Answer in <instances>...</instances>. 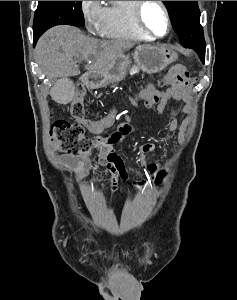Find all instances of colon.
<instances>
[{
    "label": "colon",
    "instance_id": "5ec220e1",
    "mask_svg": "<svg viewBox=\"0 0 237 300\" xmlns=\"http://www.w3.org/2000/svg\"><path fill=\"white\" fill-rule=\"evenodd\" d=\"M175 74L174 86H189L193 83L188 70L183 65H177L172 69ZM164 90H158L143 99L146 107L158 104ZM85 88L78 85L76 94L71 102L70 111L74 118H84ZM133 131V125L128 122L120 123L111 133L97 138H89L85 135L83 127L78 123L58 121L54 123L50 131L53 147L71 156L86 157L92 150L109 149L118 144L126 135ZM162 174H160L161 177Z\"/></svg>",
    "mask_w": 237,
    "mask_h": 300
}]
</instances>
